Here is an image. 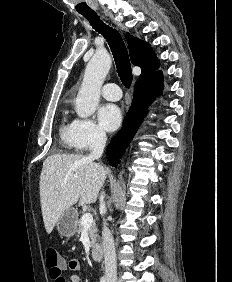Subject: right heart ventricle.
<instances>
[{
	"label": "right heart ventricle",
	"mask_w": 232,
	"mask_h": 282,
	"mask_svg": "<svg viewBox=\"0 0 232 282\" xmlns=\"http://www.w3.org/2000/svg\"><path fill=\"white\" fill-rule=\"evenodd\" d=\"M67 114V109H64L59 128L60 141L65 149H74L76 147L73 139V122L67 120Z\"/></svg>",
	"instance_id": "right-heart-ventricle-1"
}]
</instances>
